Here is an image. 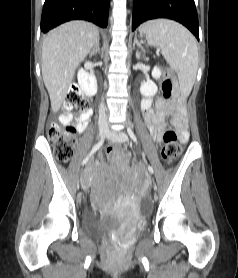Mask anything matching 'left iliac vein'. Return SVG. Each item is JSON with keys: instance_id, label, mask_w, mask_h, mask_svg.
Returning <instances> with one entry per match:
<instances>
[{"instance_id": "left-iliac-vein-1", "label": "left iliac vein", "mask_w": 238, "mask_h": 278, "mask_svg": "<svg viewBox=\"0 0 238 278\" xmlns=\"http://www.w3.org/2000/svg\"><path fill=\"white\" fill-rule=\"evenodd\" d=\"M108 138L112 141H116L120 143H126L129 141L127 134L123 131H114V130L109 131ZM153 185H154V191H158L157 182H153Z\"/></svg>"}]
</instances>
